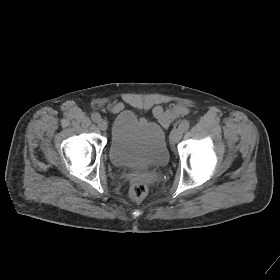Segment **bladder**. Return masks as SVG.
Returning <instances> with one entry per match:
<instances>
[{"label": "bladder", "mask_w": 280, "mask_h": 280, "mask_svg": "<svg viewBox=\"0 0 280 280\" xmlns=\"http://www.w3.org/2000/svg\"><path fill=\"white\" fill-rule=\"evenodd\" d=\"M108 153L115 166L135 170L165 166L170 157L164 128L130 110L116 115Z\"/></svg>", "instance_id": "31cf9c89"}]
</instances>
